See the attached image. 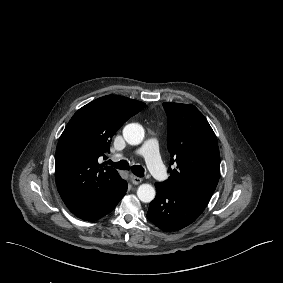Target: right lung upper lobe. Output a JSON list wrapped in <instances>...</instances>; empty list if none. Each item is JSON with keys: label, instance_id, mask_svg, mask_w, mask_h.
Listing matches in <instances>:
<instances>
[{"label": "right lung upper lobe", "instance_id": "cb5924a9", "mask_svg": "<svg viewBox=\"0 0 283 283\" xmlns=\"http://www.w3.org/2000/svg\"><path fill=\"white\" fill-rule=\"evenodd\" d=\"M144 107L137 100L108 95L71 118L56 148L55 176L59 194L72 213L91 211L120 191L124 180L98 159L106 158L120 126Z\"/></svg>", "mask_w": 283, "mask_h": 283}]
</instances>
